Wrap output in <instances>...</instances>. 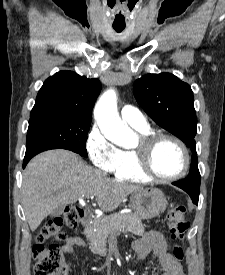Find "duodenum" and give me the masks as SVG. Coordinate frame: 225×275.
Masks as SVG:
<instances>
[{
  "instance_id": "obj_1",
  "label": "duodenum",
  "mask_w": 225,
  "mask_h": 275,
  "mask_svg": "<svg viewBox=\"0 0 225 275\" xmlns=\"http://www.w3.org/2000/svg\"><path fill=\"white\" fill-rule=\"evenodd\" d=\"M79 220H80V222H81L83 225H88L89 222H90V218L87 217L86 212H84V211H82V210H81V214H80Z\"/></svg>"
}]
</instances>
